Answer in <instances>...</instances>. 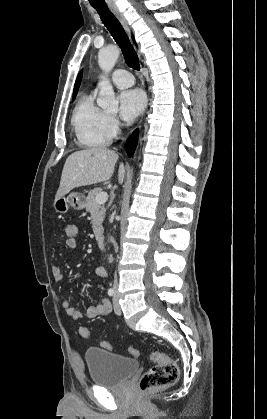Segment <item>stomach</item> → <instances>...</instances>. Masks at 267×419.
I'll return each instance as SVG.
<instances>
[{
  "mask_svg": "<svg viewBox=\"0 0 267 419\" xmlns=\"http://www.w3.org/2000/svg\"><path fill=\"white\" fill-rule=\"evenodd\" d=\"M82 210L86 207V197L82 193L72 192L67 197L55 198L53 203L54 210L59 214H65L69 208Z\"/></svg>",
  "mask_w": 267,
  "mask_h": 419,
  "instance_id": "0dacf381",
  "label": "stomach"
}]
</instances>
